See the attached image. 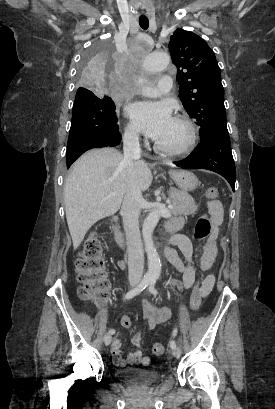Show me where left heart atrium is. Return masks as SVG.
<instances>
[{"instance_id": "39dd6f15", "label": "left heart atrium", "mask_w": 275, "mask_h": 409, "mask_svg": "<svg viewBox=\"0 0 275 409\" xmlns=\"http://www.w3.org/2000/svg\"><path fill=\"white\" fill-rule=\"evenodd\" d=\"M129 113L142 125L145 133L155 138L171 122V109L164 102L135 103Z\"/></svg>"}]
</instances>
